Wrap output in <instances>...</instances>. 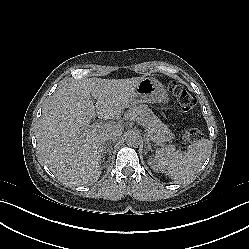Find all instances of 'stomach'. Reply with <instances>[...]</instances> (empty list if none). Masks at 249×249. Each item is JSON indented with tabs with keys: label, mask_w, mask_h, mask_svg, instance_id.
<instances>
[{
	"label": "stomach",
	"mask_w": 249,
	"mask_h": 249,
	"mask_svg": "<svg viewBox=\"0 0 249 249\" xmlns=\"http://www.w3.org/2000/svg\"><path fill=\"white\" fill-rule=\"evenodd\" d=\"M168 94L162 84L155 78L142 79L133 90L131 104L152 103L166 106Z\"/></svg>",
	"instance_id": "0dacf381"
}]
</instances>
